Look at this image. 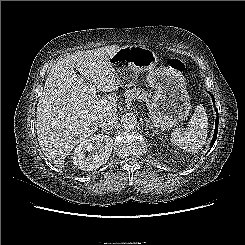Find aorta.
Instances as JSON below:
<instances>
[{
    "instance_id": "aorta-1",
    "label": "aorta",
    "mask_w": 245,
    "mask_h": 245,
    "mask_svg": "<svg viewBox=\"0 0 245 245\" xmlns=\"http://www.w3.org/2000/svg\"><path fill=\"white\" fill-rule=\"evenodd\" d=\"M121 124L124 129L131 130L134 129L137 125V118L132 113H127L122 116Z\"/></svg>"
}]
</instances>
